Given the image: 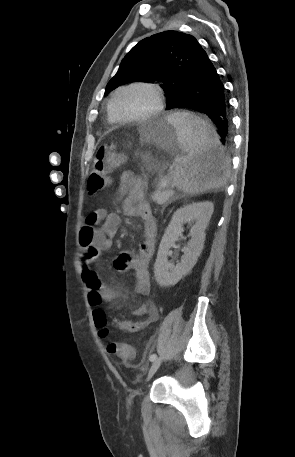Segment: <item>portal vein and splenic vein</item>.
<instances>
[{
    "label": "portal vein and splenic vein",
    "instance_id": "obj_1",
    "mask_svg": "<svg viewBox=\"0 0 295 457\" xmlns=\"http://www.w3.org/2000/svg\"><path fill=\"white\" fill-rule=\"evenodd\" d=\"M160 183H161L162 186H166L167 185V179L165 177L161 178Z\"/></svg>",
    "mask_w": 295,
    "mask_h": 457
}]
</instances>
